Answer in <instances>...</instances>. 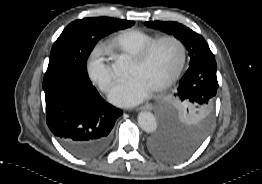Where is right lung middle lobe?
I'll return each mask as SVG.
<instances>
[{
  "mask_svg": "<svg viewBox=\"0 0 262 184\" xmlns=\"http://www.w3.org/2000/svg\"><path fill=\"white\" fill-rule=\"evenodd\" d=\"M134 21L95 17L70 23L54 43L44 80L62 75H78L89 80L86 62L102 37L134 25Z\"/></svg>",
  "mask_w": 262,
  "mask_h": 184,
  "instance_id": "right-lung-middle-lobe-1",
  "label": "right lung middle lobe"
}]
</instances>
